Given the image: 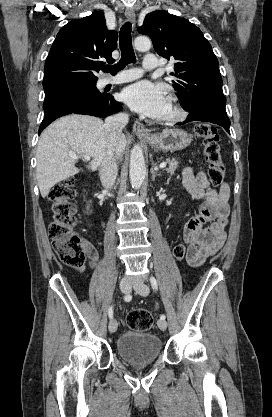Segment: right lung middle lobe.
I'll return each instance as SVG.
<instances>
[{
    "instance_id": "obj_1",
    "label": "right lung middle lobe",
    "mask_w": 272,
    "mask_h": 417,
    "mask_svg": "<svg viewBox=\"0 0 272 417\" xmlns=\"http://www.w3.org/2000/svg\"><path fill=\"white\" fill-rule=\"evenodd\" d=\"M44 91L45 100L43 108L47 107L52 102L64 97L84 96L93 99H98L105 96L104 93H100L97 90L96 83L64 85Z\"/></svg>"
}]
</instances>
